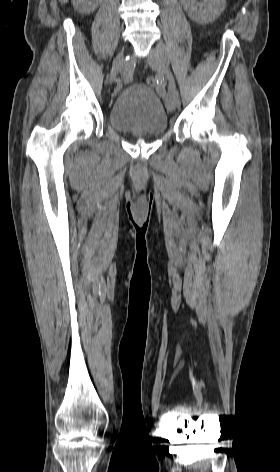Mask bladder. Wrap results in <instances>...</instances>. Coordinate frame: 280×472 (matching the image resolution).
Here are the masks:
<instances>
[{
    "instance_id": "bladder-1",
    "label": "bladder",
    "mask_w": 280,
    "mask_h": 472,
    "mask_svg": "<svg viewBox=\"0 0 280 472\" xmlns=\"http://www.w3.org/2000/svg\"><path fill=\"white\" fill-rule=\"evenodd\" d=\"M110 125L123 133L164 134L169 125L161 98L144 84H132L119 92L108 113Z\"/></svg>"
}]
</instances>
